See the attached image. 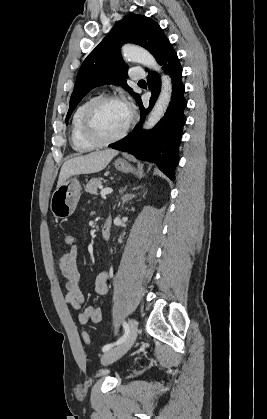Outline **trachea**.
Segmentation results:
<instances>
[{"mask_svg":"<svg viewBox=\"0 0 267 419\" xmlns=\"http://www.w3.org/2000/svg\"><path fill=\"white\" fill-rule=\"evenodd\" d=\"M139 82H144V80H140Z\"/></svg>","mask_w":267,"mask_h":419,"instance_id":"1","label":"trachea"}]
</instances>
